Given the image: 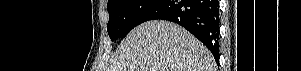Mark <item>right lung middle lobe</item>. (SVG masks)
<instances>
[{"label":"right lung middle lobe","instance_id":"dd1d6c3e","mask_svg":"<svg viewBox=\"0 0 301 71\" xmlns=\"http://www.w3.org/2000/svg\"><path fill=\"white\" fill-rule=\"evenodd\" d=\"M157 0H109L107 31L112 41L125 37L139 25L143 13Z\"/></svg>","mask_w":301,"mask_h":71}]
</instances>
